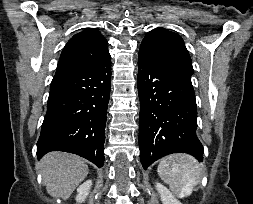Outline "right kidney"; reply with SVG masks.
Here are the masks:
<instances>
[{
    "mask_svg": "<svg viewBox=\"0 0 253 204\" xmlns=\"http://www.w3.org/2000/svg\"><path fill=\"white\" fill-rule=\"evenodd\" d=\"M92 186V181L87 180L85 181L82 185H80L77 189V196H76V201L78 203L84 202L86 197L88 196L90 189Z\"/></svg>",
    "mask_w": 253,
    "mask_h": 204,
    "instance_id": "obj_1",
    "label": "right kidney"
}]
</instances>
